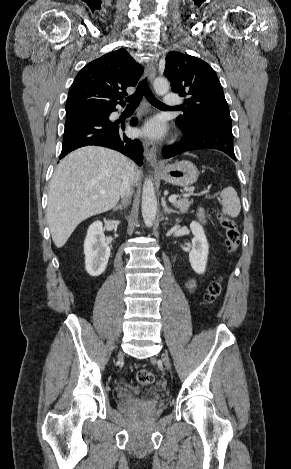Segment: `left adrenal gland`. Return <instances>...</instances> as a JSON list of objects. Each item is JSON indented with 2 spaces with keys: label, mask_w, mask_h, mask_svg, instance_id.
I'll return each instance as SVG.
<instances>
[{
  "label": "left adrenal gland",
  "mask_w": 291,
  "mask_h": 469,
  "mask_svg": "<svg viewBox=\"0 0 291 469\" xmlns=\"http://www.w3.org/2000/svg\"><path fill=\"white\" fill-rule=\"evenodd\" d=\"M162 207H163V211L164 213H179L177 210H174L172 208H169L166 204V201H165V197H162Z\"/></svg>",
  "instance_id": "1"
}]
</instances>
